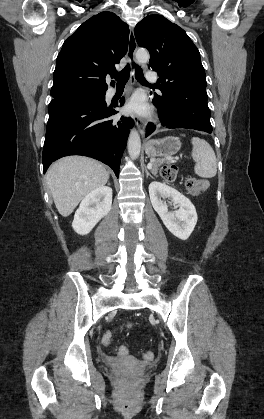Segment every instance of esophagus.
Returning a JSON list of instances; mask_svg holds the SVG:
<instances>
[{"label":"esophagus","instance_id":"esophagus-1","mask_svg":"<svg viewBox=\"0 0 264 419\" xmlns=\"http://www.w3.org/2000/svg\"><path fill=\"white\" fill-rule=\"evenodd\" d=\"M137 50V42L134 35V30L132 29L129 36V44H128V52L127 57L130 64L131 69V76L134 75L135 67L137 65V62L135 60V52ZM133 120L135 122V125L137 126L139 132L141 135H144L145 133V123L143 120L139 119L138 117H133Z\"/></svg>","mask_w":264,"mask_h":419}]
</instances>
